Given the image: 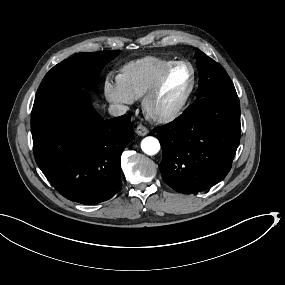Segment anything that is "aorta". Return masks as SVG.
<instances>
[{"mask_svg": "<svg viewBox=\"0 0 285 285\" xmlns=\"http://www.w3.org/2000/svg\"><path fill=\"white\" fill-rule=\"evenodd\" d=\"M141 149L147 155H155L160 150L159 141L154 137H146L141 142Z\"/></svg>", "mask_w": 285, "mask_h": 285, "instance_id": "aorta-1", "label": "aorta"}]
</instances>
